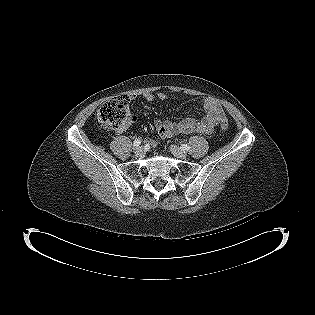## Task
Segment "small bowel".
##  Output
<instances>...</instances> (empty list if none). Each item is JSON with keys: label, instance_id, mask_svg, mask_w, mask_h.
Here are the masks:
<instances>
[{"label": "small bowel", "instance_id": "1", "mask_svg": "<svg viewBox=\"0 0 315 315\" xmlns=\"http://www.w3.org/2000/svg\"><path fill=\"white\" fill-rule=\"evenodd\" d=\"M156 97L159 100H166L169 98L168 95L162 92L158 93L157 96L152 93H145L143 95L144 100L147 102L154 101ZM130 98H134V96H131ZM200 108L203 112V116L200 119L194 117L186 118L181 121H163L161 119H155L154 126L158 138H170L178 134L190 133L209 134L216 125L221 123L222 120H226L221 105L212 98H203L200 103ZM124 129L119 131H123ZM146 142L150 145H154L156 139L149 138Z\"/></svg>", "mask_w": 315, "mask_h": 315}]
</instances>
